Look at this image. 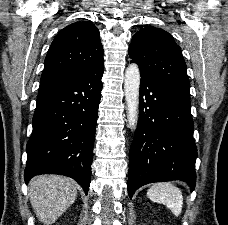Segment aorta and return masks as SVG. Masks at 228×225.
Wrapping results in <instances>:
<instances>
[{
  "label": "aorta",
  "mask_w": 228,
  "mask_h": 225,
  "mask_svg": "<svg viewBox=\"0 0 228 225\" xmlns=\"http://www.w3.org/2000/svg\"><path fill=\"white\" fill-rule=\"evenodd\" d=\"M140 70L138 64L132 62L126 68L124 90L127 104L129 129H136L138 123Z\"/></svg>",
  "instance_id": "1"
}]
</instances>
